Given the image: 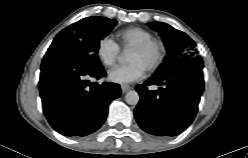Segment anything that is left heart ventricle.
Instances as JSON below:
<instances>
[{
  "label": "left heart ventricle",
  "instance_id": "left-heart-ventricle-1",
  "mask_svg": "<svg viewBox=\"0 0 248 158\" xmlns=\"http://www.w3.org/2000/svg\"><path fill=\"white\" fill-rule=\"evenodd\" d=\"M156 58V53L154 50H149L146 52H139L136 50H131L129 54V62H139L146 69L154 62Z\"/></svg>",
  "mask_w": 248,
  "mask_h": 158
}]
</instances>
